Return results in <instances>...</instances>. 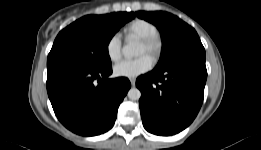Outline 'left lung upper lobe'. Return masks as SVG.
<instances>
[{"label": "left lung upper lobe", "instance_id": "obj_1", "mask_svg": "<svg viewBox=\"0 0 261 150\" xmlns=\"http://www.w3.org/2000/svg\"><path fill=\"white\" fill-rule=\"evenodd\" d=\"M137 17L154 24L161 33L162 53L158 65L164 63L181 47L200 41L196 31L177 16L163 11H138Z\"/></svg>", "mask_w": 261, "mask_h": 150}]
</instances>
